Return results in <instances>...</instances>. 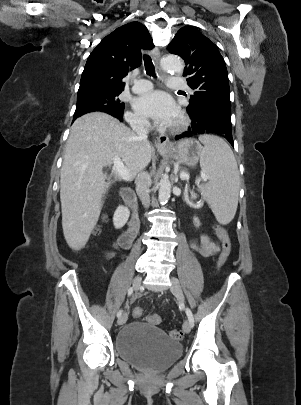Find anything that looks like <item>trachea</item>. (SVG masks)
<instances>
[{
	"instance_id": "1",
	"label": "trachea",
	"mask_w": 301,
	"mask_h": 405,
	"mask_svg": "<svg viewBox=\"0 0 301 405\" xmlns=\"http://www.w3.org/2000/svg\"><path fill=\"white\" fill-rule=\"evenodd\" d=\"M143 58H144V66H145L146 74L149 76L155 77V67L152 62L151 57L147 54H144Z\"/></svg>"
}]
</instances>
